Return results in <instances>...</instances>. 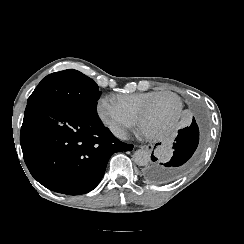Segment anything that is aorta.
Returning <instances> with one entry per match:
<instances>
[{"label":"aorta","mask_w":244,"mask_h":244,"mask_svg":"<svg viewBox=\"0 0 244 244\" xmlns=\"http://www.w3.org/2000/svg\"><path fill=\"white\" fill-rule=\"evenodd\" d=\"M151 159V154L148 150L138 149L134 152L133 160L139 166H146Z\"/></svg>","instance_id":"aorta-1"}]
</instances>
